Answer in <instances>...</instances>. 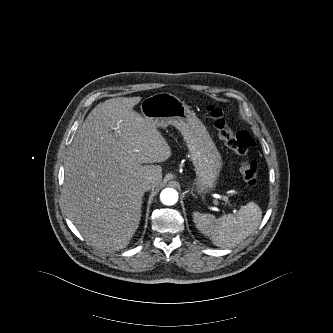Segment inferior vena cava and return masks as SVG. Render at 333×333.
Returning <instances> with one entry per match:
<instances>
[{"instance_id":"inferior-vena-cava-1","label":"inferior vena cava","mask_w":333,"mask_h":333,"mask_svg":"<svg viewBox=\"0 0 333 333\" xmlns=\"http://www.w3.org/2000/svg\"><path fill=\"white\" fill-rule=\"evenodd\" d=\"M153 184H154V180L152 178H149L148 180H146L143 183L142 187L145 191H148L153 187Z\"/></svg>"}]
</instances>
